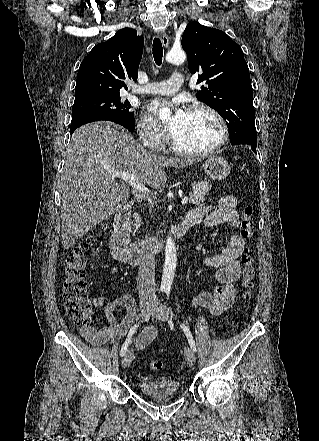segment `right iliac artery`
<instances>
[{"label":"right iliac artery","mask_w":319,"mask_h":441,"mask_svg":"<svg viewBox=\"0 0 319 441\" xmlns=\"http://www.w3.org/2000/svg\"><path fill=\"white\" fill-rule=\"evenodd\" d=\"M138 326H139L138 324H135V325L130 329L129 334H128V337H127L126 341L124 342V344H123V346H122V348H121V351H120V355H121V356H124V355H125V353H126V351H127V348H128V345H129V342H130V340H131V337H132V336L134 335V333L136 332Z\"/></svg>","instance_id":"1"}]
</instances>
